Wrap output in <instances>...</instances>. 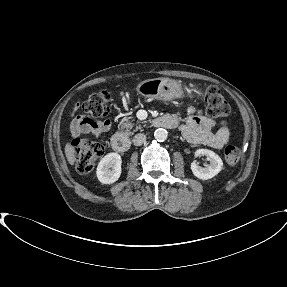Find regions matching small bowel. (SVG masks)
I'll return each mask as SVG.
<instances>
[{
  "instance_id": "1",
  "label": "small bowel",
  "mask_w": 287,
  "mask_h": 287,
  "mask_svg": "<svg viewBox=\"0 0 287 287\" xmlns=\"http://www.w3.org/2000/svg\"><path fill=\"white\" fill-rule=\"evenodd\" d=\"M189 115L188 120L181 126L183 136L192 144L205 145L220 149L229 140V129L222 126L213 132V121L206 117L200 109L194 106L185 107ZM70 132L73 136L81 134H93L100 136L112 130L110 121H95L88 117L77 114V109L71 113ZM175 122L176 119L171 117Z\"/></svg>"
}]
</instances>
